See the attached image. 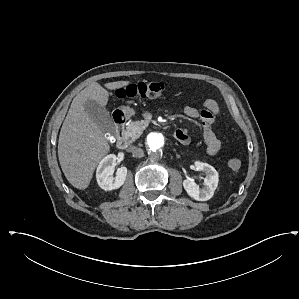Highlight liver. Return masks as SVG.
Segmentation results:
<instances>
[{
	"instance_id": "1",
	"label": "liver",
	"mask_w": 299,
	"mask_h": 299,
	"mask_svg": "<svg viewBox=\"0 0 299 299\" xmlns=\"http://www.w3.org/2000/svg\"><path fill=\"white\" fill-rule=\"evenodd\" d=\"M129 83L116 81L104 86L116 90ZM105 88L92 83L74 98L59 135L58 157L62 171L69 183L80 190L89 186L95 168L110 151L103 131L85 110L87 100L95 101L103 107L107 105L109 93Z\"/></svg>"
}]
</instances>
